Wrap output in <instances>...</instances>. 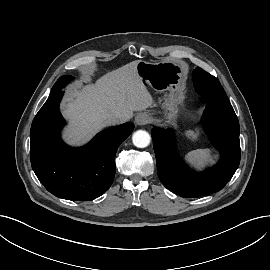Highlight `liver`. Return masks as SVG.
Here are the masks:
<instances>
[{
  "mask_svg": "<svg viewBox=\"0 0 270 270\" xmlns=\"http://www.w3.org/2000/svg\"><path fill=\"white\" fill-rule=\"evenodd\" d=\"M138 61L108 72L91 83L69 93L63 114L70 121L66 136L71 143H81L110 125L111 114L131 119L134 111L152 106L153 99L137 73Z\"/></svg>",
  "mask_w": 270,
  "mask_h": 270,
  "instance_id": "obj_1",
  "label": "liver"
}]
</instances>
